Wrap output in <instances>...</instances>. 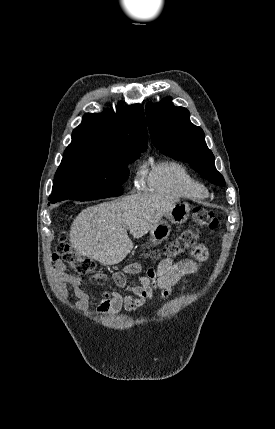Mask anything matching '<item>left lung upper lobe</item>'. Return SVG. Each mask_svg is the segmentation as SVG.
Here are the masks:
<instances>
[{
  "label": "left lung upper lobe",
  "instance_id": "5c2ea615",
  "mask_svg": "<svg viewBox=\"0 0 275 429\" xmlns=\"http://www.w3.org/2000/svg\"><path fill=\"white\" fill-rule=\"evenodd\" d=\"M147 122L151 140L163 154L183 160L209 182L224 186L223 176L215 168V159L200 127L190 122L189 111L175 107L170 97L158 104H147Z\"/></svg>",
  "mask_w": 275,
  "mask_h": 429
}]
</instances>
